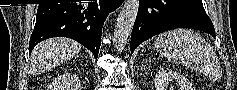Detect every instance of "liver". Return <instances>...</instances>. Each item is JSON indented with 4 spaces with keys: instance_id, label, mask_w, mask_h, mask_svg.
Segmentation results:
<instances>
[{
    "instance_id": "1",
    "label": "liver",
    "mask_w": 237,
    "mask_h": 90,
    "mask_svg": "<svg viewBox=\"0 0 237 90\" xmlns=\"http://www.w3.org/2000/svg\"><path fill=\"white\" fill-rule=\"evenodd\" d=\"M81 44L69 38H49L35 46L30 62L32 72H46L72 60L81 50Z\"/></svg>"
}]
</instances>
